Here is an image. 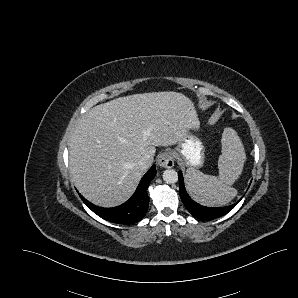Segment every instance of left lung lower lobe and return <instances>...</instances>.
<instances>
[{"label":"left lung lower lobe","instance_id":"0a47b994","mask_svg":"<svg viewBox=\"0 0 298 298\" xmlns=\"http://www.w3.org/2000/svg\"><path fill=\"white\" fill-rule=\"evenodd\" d=\"M179 175V194L181 197V200L187 210L196 218L201 219V220H213L216 218H219L221 216H224L228 212H230L236 205L237 203L226 206V207H220V208H209V207H204L196 202H194L187 194L185 187H184V182H183V176L181 171L178 172ZM241 200V199H240ZM239 200V201H240Z\"/></svg>","mask_w":298,"mask_h":298}]
</instances>
